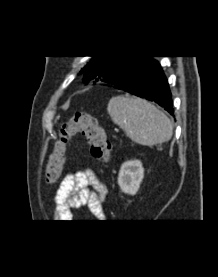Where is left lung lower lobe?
I'll return each instance as SVG.
<instances>
[{"label": "left lung lower lobe", "instance_id": "0a47b994", "mask_svg": "<svg viewBox=\"0 0 218 277\" xmlns=\"http://www.w3.org/2000/svg\"><path fill=\"white\" fill-rule=\"evenodd\" d=\"M152 56H136L122 69L111 74L104 82L158 103L174 115L171 92L160 64Z\"/></svg>", "mask_w": 218, "mask_h": 277}]
</instances>
